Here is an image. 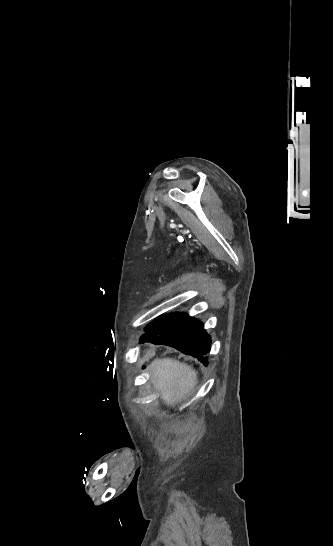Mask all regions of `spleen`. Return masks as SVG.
<instances>
[{
	"mask_svg": "<svg viewBox=\"0 0 333 546\" xmlns=\"http://www.w3.org/2000/svg\"><path fill=\"white\" fill-rule=\"evenodd\" d=\"M149 370L154 389L167 405L194 394L197 372L191 366L165 358L153 361Z\"/></svg>",
	"mask_w": 333,
	"mask_h": 546,
	"instance_id": "obj_1",
	"label": "spleen"
}]
</instances>
